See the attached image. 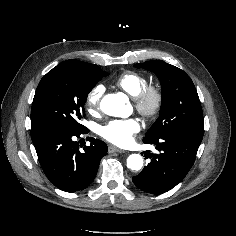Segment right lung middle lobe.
Segmentation results:
<instances>
[{"instance_id":"right-lung-middle-lobe-1","label":"right lung middle lobe","mask_w":236,"mask_h":236,"mask_svg":"<svg viewBox=\"0 0 236 236\" xmlns=\"http://www.w3.org/2000/svg\"><path fill=\"white\" fill-rule=\"evenodd\" d=\"M109 73L99 70L91 74L80 66L62 62L40 81L31 108V129L56 128L80 132L85 115L84 105L89 92L101 77Z\"/></svg>"}]
</instances>
